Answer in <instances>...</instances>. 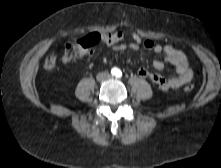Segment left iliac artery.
<instances>
[{
	"label": "left iliac artery",
	"instance_id": "1",
	"mask_svg": "<svg viewBox=\"0 0 221 168\" xmlns=\"http://www.w3.org/2000/svg\"><path fill=\"white\" fill-rule=\"evenodd\" d=\"M116 76H117L118 78H121V77H122V72H121V71H118L117 74H116Z\"/></svg>",
	"mask_w": 221,
	"mask_h": 168
}]
</instances>
